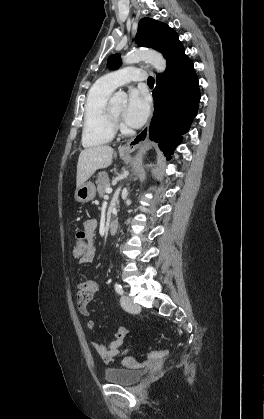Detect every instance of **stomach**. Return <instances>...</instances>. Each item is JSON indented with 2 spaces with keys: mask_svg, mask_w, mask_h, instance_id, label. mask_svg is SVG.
Returning a JSON list of instances; mask_svg holds the SVG:
<instances>
[{
  "mask_svg": "<svg viewBox=\"0 0 264 419\" xmlns=\"http://www.w3.org/2000/svg\"><path fill=\"white\" fill-rule=\"evenodd\" d=\"M121 158H126V155L120 154ZM96 195V188L95 185L92 182H86L82 184L80 187H78L74 194V199L77 202L86 203L91 200Z\"/></svg>",
  "mask_w": 264,
  "mask_h": 419,
  "instance_id": "stomach-1",
  "label": "stomach"
}]
</instances>
